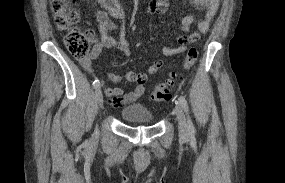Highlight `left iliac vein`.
Here are the masks:
<instances>
[{"instance_id": "4c4485c4", "label": "left iliac vein", "mask_w": 285, "mask_h": 183, "mask_svg": "<svg viewBox=\"0 0 285 183\" xmlns=\"http://www.w3.org/2000/svg\"><path fill=\"white\" fill-rule=\"evenodd\" d=\"M174 111H175L176 118L178 121L179 135L182 138H186V137H188V125L186 122V118H185L183 108L178 104L175 106Z\"/></svg>"}]
</instances>
